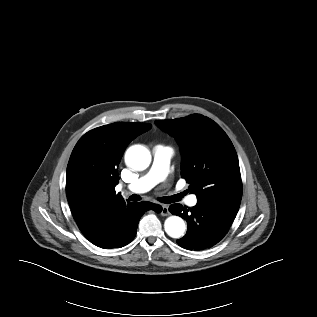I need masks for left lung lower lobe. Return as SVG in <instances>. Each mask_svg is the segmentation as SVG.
<instances>
[{
  "mask_svg": "<svg viewBox=\"0 0 317 317\" xmlns=\"http://www.w3.org/2000/svg\"><path fill=\"white\" fill-rule=\"evenodd\" d=\"M240 206V201L198 198L192 208L172 204L169 210L187 220L186 235L177 243L188 250H203L217 244L227 233Z\"/></svg>",
  "mask_w": 317,
  "mask_h": 317,
  "instance_id": "1",
  "label": "left lung lower lobe"
}]
</instances>
